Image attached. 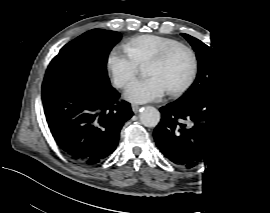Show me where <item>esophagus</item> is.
<instances>
[{
  "instance_id": "obj_1",
  "label": "esophagus",
  "mask_w": 270,
  "mask_h": 213,
  "mask_svg": "<svg viewBox=\"0 0 270 213\" xmlns=\"http://www.w3.org/2000/svg\"><path fill=\"white\" fill-rule=\"evenodd\" d=\"M131 107H132V111H133L134 113L139 112V110H140V108H141V106L136 105V104H132Z\"/></svg>"
}]
</instances>
